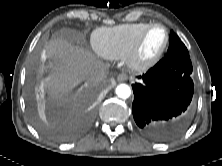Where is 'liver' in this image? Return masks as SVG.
<instances>
[{
	"label": "liver",
	"mask_w": 222,
	"mask_h": 166,
	"mask_svg": "<svg viewBox=\"0 0 222 166\" xmlns=\"http://www.w3.org/2000/svg\"><path fill=\"white\" fill-rule=\"evenodd\" d=\"M46 49L47 56L54 65L45 83L49 89L50 101L59 105L66 101V95L74 85L87 78L92 68L105 65L92 52L63 39L51 40ZM99 83L90 85L96 86Z\"/></svg>",
	"instance_id": "liver-1"
}]
</instances>
